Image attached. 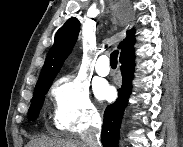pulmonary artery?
Wrapping results in <instances>:
<instances>
[{"instance_id":"pulmonary-artery-1","label":"pulmonary artery","mask_w":183,"mask_h":147,"mask_svg":"<svg viewBox=\"0 0 183 147\" xmlns=\"http://www.w3.org/2000/svg\"><path fill=\"white\" fill-rule=\"evenodd\" d=\"M95 70L100 76H107L110 73L109 58L107 55H101L98 58Z\"/></svg>"}]
</instances>
